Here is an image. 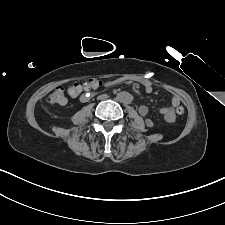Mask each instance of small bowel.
Segmentation results:
<instances>
[{
	"label": "small bowel",
	"instance_id": "small-bowel-1",
	"mask_svg": "<svg viewBox=\"0 0 225 225\" xmlns=\"http://www.w3.org/2000/svg\"><path fill=\"white\" fill-rule=\"evenodd\" d=\"M91 81L93 83V86H92V88H90L87 91L96 90L97 88H99L102 85V83L99 80H97V79H91ZM143 86H144V89H145V91L147 93H151L152 92L153 87H152V85L150 83L145 82L143 84ZM88 97H89V93L83 95L81 97V100L82 101H86L88 99ZM178 106H181V100H180L179 96L174 94V93H171V103L168 106H166V107L158 109L164 122H166L168 124H172V123L175 122V119H176V108ZM138 110H139V113H140L141 116H143V117L147 116V114H148L147 106L141 105ZM155 122L156 121L153 120V119H150V118L146 119V124H147L148 127L154 126Z\"/></svg>",
	"mask_w": 225,
	"mask_h": 225
}]
</instances>
